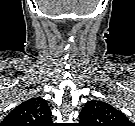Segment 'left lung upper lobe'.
I'll list each match as a JSON object with an SVG mask.
<instances>
[{
	"instance_id": "1",
	"label": "left lung upper lobe",
	"mask_w": 135,
	"mask_h": 126,
	"mask_svg": "<svg viewBox=\"0 0 135 126\" xmlns=\"http://www.w3.org/2000/svg\"><path fill=\"white\" fill-rule=\"evenodd\" d=\"M80 120L84 126H126L128 119L120 110L110 104L91 100L88 101L80 113Z\"/></svg>"
}]
</instances>
